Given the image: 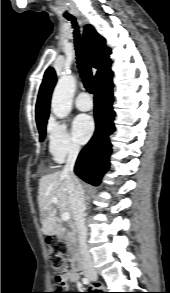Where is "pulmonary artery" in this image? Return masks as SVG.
I'll return each instance as SVG.
<instances>
[{"instance_id":"obj_1","label":"pulmonary artery","mask_w":170,"mask_h":293,"mask_svg":"<svg viewBox=\"0 0 170 293\" xmlns=\"http://www.w3.org/2000/svg\"><path fill=\"white\" fill-rule=\"evenodd\" d=\"M75 105L81 111H89L93 107V101L88 93L81 92L75 101Z\"/></svg>"}]
</instances>
